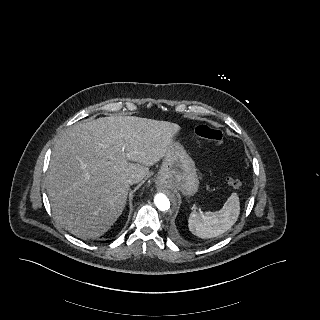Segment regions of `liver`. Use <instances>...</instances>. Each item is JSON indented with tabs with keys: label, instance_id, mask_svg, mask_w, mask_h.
Returning <instances> with one entry per match:
<instances>
[{
	"label": "liver",
	"instance_id": "obj_1",
	"mask_svg": "<svg viewBox=\"0 0 320 320\" xmlns=\"http://www.w3.org/2000/svg\"><path fill=\"white\" fill-rule=\"evenodd\" d=\"M180 126L136 116L100 117L68 128L46 176L57 222L81 239L106 233L122 214L130 184L165 155Z\"/></svg>",
	"mask_w": 320,
	"mask_h": 320
}]
</instances>
